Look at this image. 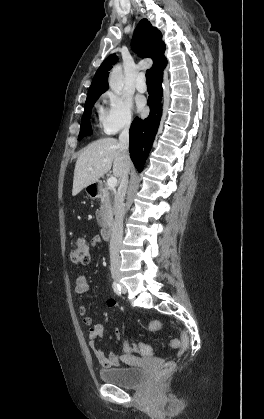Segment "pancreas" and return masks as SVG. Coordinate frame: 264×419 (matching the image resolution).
Instances as JSON below:
<instances>
[{
	"label": "pancreas",
	"mask_w": 264,
	"mask_h": 419,
	"mask_svg": "<svg viewBox=\"0 0 264 419\" xmlns=\"http://www.w3.org/2000/svg\"><path fill=\"white\" fill-rule=\"evenodd\" d=\"M101 206L97 211V220L101 226L107 225L113 217L115 203L113 201V193L109 188H103L100 194Z\"/></svg>",
	"instance_id": "1"
}]
</instances>
